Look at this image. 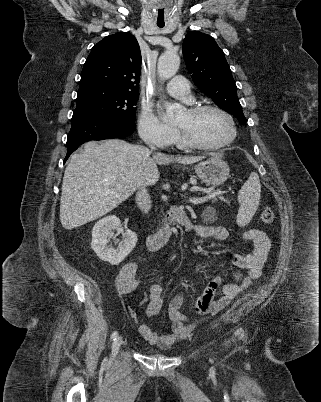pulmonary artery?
I'll return each mask as SVG.
<instances>
[{
    "mask_svg": "<svg viewBox=\"0 0 321 402\" xmlns=\"http://www.w3.org/2000/svg\"><path fill=\"white\" fill-rule=\"evenodd\" d=\"M166 91L173 97L192 101L190 88L187 80L182 76L172 78L165 87Z\"/></svg>",
    "mask_w": 321,
    "mask_h": 402,
    "instance_id": "1",
    "label": "pulmonary artery"
}]
</instances>
